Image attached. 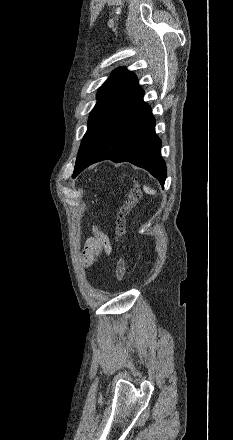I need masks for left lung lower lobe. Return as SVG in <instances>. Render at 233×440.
Instances as JSON below:
<instances>
[{
    "mask_svg": "<svg viewBox=\"0 0 233 440\" xmlns=\"http://www.w3.org/2000/svg\"><path fill=\"white\" fill-rule=\"evenodd\" d=\"M143 95L144 91L109 124L85 160L75 168L73 178L99 161H127L148 170L164 186L167 170L160 154L161 141L155 134L151 107L143 101Z\"/></svg>",
    "mask_w": 233,
    "mask_h": 440,
    "instance_id": "1",
    "label": "left lung lower lobe"
}]
</instances>
